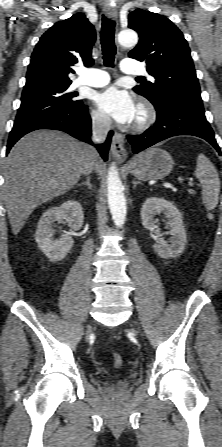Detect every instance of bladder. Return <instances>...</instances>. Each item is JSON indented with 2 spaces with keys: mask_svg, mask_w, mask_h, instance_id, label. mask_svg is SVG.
I'll list each match as a JSON object with an SVG mask.
<instances>
[{
  "mask_svg": "<svg viewBox=\"0 0 222 447\" xmlns=\"http://www.w3.org/2000/svg\"><path fill=\"white\" fill-rule=\"evenodd\" d=\"M117 377H121V374L117 375Z\"/></svg>",
  "mask_w": 222,
  "mask_h": 447,
  "instance_id": "1",
  "label": "bladder"
}]
</instances>
